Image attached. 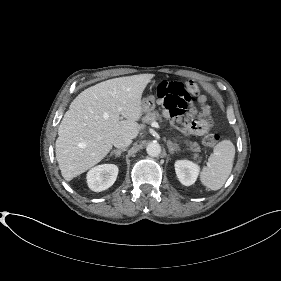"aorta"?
Masks as SVG:
<instances>
[{
  "label": "aorta",
  "instance_id": "1",
  "mask_svg": "<svg viewBox=\"0 0 281 281\" xmlns=\"http://www.w3.org/2000/svg\"><path fill=\"white\" fill-rule=\"evenodd\" d=\"M147 154L151 157H157L161 153V146L156 142H151L146 147Z\"/></svg>",
  "mask_w": 281,
  "mask_h": 281
}]
</instances>
